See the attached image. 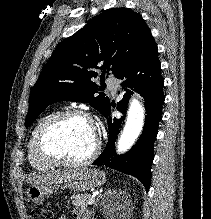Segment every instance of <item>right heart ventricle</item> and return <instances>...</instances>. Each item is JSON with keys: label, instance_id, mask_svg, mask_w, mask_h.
Here are the masks:
<instances>
[{"label": "right heart ventricle", "instance_id": "obj_1", "mask_svg": "<svg viewBox=\"0 0 211 219\" xmlns=\"http://www.w3.org/2000/svg\"><path fill=\"white\" fill-rule=\"evenodd\" d=\"M52 114H45L43 115L35 124L29 141H28V145H27V151H28V162L29 164L32 166V168H34L35 170L38 171H47L49 169H51L53 166L42 161L35 153L34 151V139H35V135L39 129V127L41 126V124L48 118L50 117Z\"/></svg>", "mask_w": 211, "mask_h": 219}]
</instances>
